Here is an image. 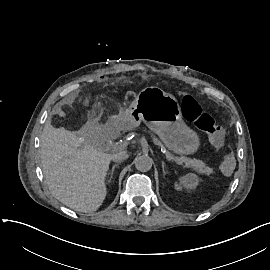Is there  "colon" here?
Here are the masks:
<instances>
[{
	"instance_id": "obj_1",
	"label": "colon",
	"mask_w": 270,
	"mask_h": 270,
	"mask_svg": "<svg viewBox=\"0 0 270 270\" xmlns=\"http://www.w3.org/2000/svg\"><path fill=\"white\" fill-rule=\"evenodd\" d=\"M178 103L187 121L205 132L213 146L224 148L222 170L226 174L233 173L235 170V155L225 148V133L221 126L209 114L202 111L200 105L191 95L185 94L179 96Z\"/></svg>"
}]
</instances>
